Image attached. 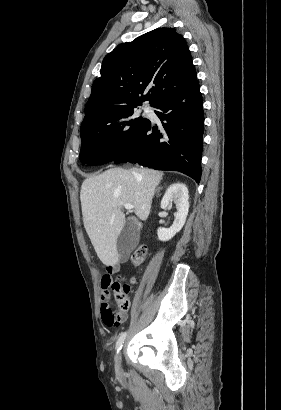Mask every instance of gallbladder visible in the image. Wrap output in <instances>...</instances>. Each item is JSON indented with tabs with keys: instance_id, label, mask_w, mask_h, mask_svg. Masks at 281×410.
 Masks as SVG:
<instances>
[{
	"instance_id": "bac80fb5",
	"label": "gallbladder",
	"mask_w": 281,
	"mask_h": 410,
	"mask_svg": "<svg viewBox=\"0 0 281 410\" xmlns=\"http://www.w3.org/2000/svg\"><path fill=\"white\" fill-rule=\"evenodd\" d=\"M138 243L137 227L132 220H127L118 239H117V251L119 254V260L124 262L127 260L131 251Z\"/></svg>"
}]
</instances>
